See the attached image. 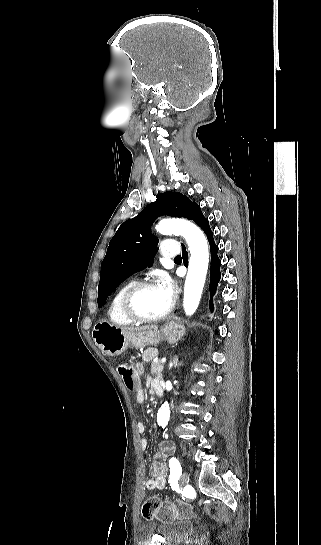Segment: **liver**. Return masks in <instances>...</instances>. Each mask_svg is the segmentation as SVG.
Masks as SVG:
<instances>
[{
  "mask_svg": "<svg viewBox=\"0 0 321 545\" xmlns=\"http://www.w3.org/2000/svg\"><path fill=\"white\" fill-rule=\"evenodd\" d=\"M147 329H158L157 325H145V327H124L122 331L128 333V331H147Z\"/></svg>",
  "mask_w": 321,
  "mask_h": 545,
  "instance_id": "liver-1",
  "label": "liver"
}]
</instances>
